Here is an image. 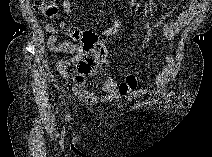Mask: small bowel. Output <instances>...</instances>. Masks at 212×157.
Masks as SVG:
<instances>
[{
  "mask_svg": "<svg viewBox=\"0 0 212 157\" xmlns=\"http://www.w3.org/2000/svg\"><path fill=\"white\" fill-rule=\"evenodd\" d=\"M201 2L198 0H190L187 6L178 14L175 20L169 21L163 26V34L166 40L172 43L179 32L189 25L193 17L199 12ZM62 10L66 15H72L73 5L70 0L62 2ZM45 29L50 33L47 40L48 48L56 53H68L72 55L70 60L61 59L56 64L59 75L64 79H73V90L76 95L84 102L94 105L100 102H109L118 97H132L134 95L143 94L144 88L138 86V78L136 75L130 74L121 82H116L112 76H107L103 81L104 92L102 94L86 90L82 85L75 82L68 68L77 63L83 56L80 48L70 42H59V34L61 31L51 24L45 23ZM121 28L119 20H112L108 27L100 31L105 37L116 35ZM164 68L156 76L154 84L158 87L164 86L171 79L175 71V62L168 53L164 56Z\"/></svg>",
  "mask_w": 212,
  "mask_h": 157,
  "instance_id": "1",
  "label": "small bowel"
}]
</instances>
